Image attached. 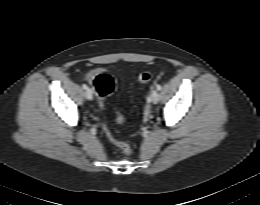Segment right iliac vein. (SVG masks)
<instances>
[{"label":"right iliac vein","mask_w":260,"mask_h":205,"mask_svg":"<svg viewBox=\"0 0 260 205\" xmlns=\"http://www.w3.org/2000/svg\"><path fill=\"white\" fill-rule=\"evenodd\" d=\"M85 97L86 99L88 100H92L93 99V92L91 89H87L86 92H85Z\"/></svg>","instance_id":"1"}]
</instances>
